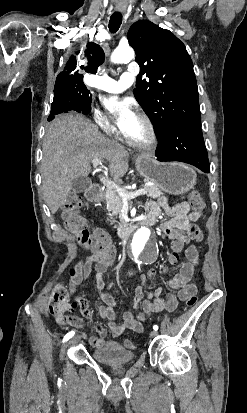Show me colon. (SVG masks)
I'll return each instance as SVG.
<instances>
[{"label": "colon", "mask_w": 247, "mask_h": 413, "mask_svg": "<svg viewBox=\"0 0 247 413\" xmlns=\"http://www.w3.org/2000/svg\"><path fill=\"white\" fill-rule=\"evenodd\" d=\"M186 198L192 204L196 211L203 209L204 203L198 192H190ZM83 208V202L81 198L76 195L68 196L61 207V217L63 220L64 228L70 232L77 234V241L80 244L89 242V249L92 252H98L104 261H112L115 258V247L110 244L108 236L100 231L90 232L88 228V221L81 216L80 211ZM196 241L201 239H195ZM182 251L180 244H175L171 252V256L176 264L181 262L178 257V253ZM57 291L54 293L53 298L49 304V310L51 314H60L61 312H73L74 307L77 304H69V300L65 298V290L61 285H56ZM197 303V298H186V309L193 308ZM126 348H132L133 343L126 339L123 342Z\"/></svg>", "instance_id": "1"}]
</instances>
